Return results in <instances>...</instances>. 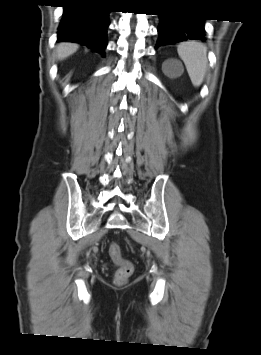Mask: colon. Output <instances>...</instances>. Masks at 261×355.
<instances>
[{
    "instance_id": "colon-1",
    "label": "colon",
    "mask_w": 261,
    "mask_h": 355,
    "mask_svg": "<svg viewBox=\"0 0 261 355\" xmlns=\"http://www.w3.org/2000/svg\"><path fill=\"white\" fill-rule=\"evenodd\" d=\"M111 260L118 266L115 273V282L118 285L124 284L134 271L133 264L122 256L120 246L112 242L108 248Z\"/></svg>"
}]
</instances>
